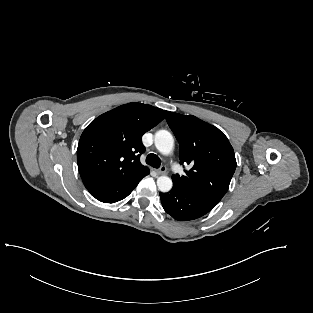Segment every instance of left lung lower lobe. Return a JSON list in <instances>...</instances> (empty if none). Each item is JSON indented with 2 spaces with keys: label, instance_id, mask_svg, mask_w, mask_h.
<instances>
[{
  "label": "left lung lower lobe",
  "instance_id": "0a47b994",
  "mask_svg": "<svg viewBox=\"0 0 313 313\" xmlns=\"http://www.w3.org/2000/svg\"><path fill=\"white\" fill-rule=\"evenodd\" d=\"M160 197L164 210L180 221L199 218L216 205L210 200L186 193L176 185H173V188L167 193L160 192Z\"/></svg>",
  "mask_w": 313,
  "mask_h": 313
}]
</instances>
